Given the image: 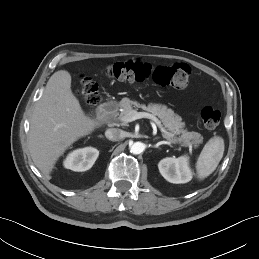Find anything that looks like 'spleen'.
Masks as SVG:
<instances>
[{
  "label": "spleen",
  "mask_w": 259,
  "mask_h": 259,
  "mask_svg": "<svg viewBox=\"0 0 259 259\" xmlns=\"http://www.w3.org/2000/svg\"><path fill=\"white\" fill-rule=\"evenodd\" d=\"M224 148V140L219 136L212 137L205 144L196 162V171L200 180L215 171L223 157Z\"/></svg>",
  "instance_id": "1"
}]
</instances>
